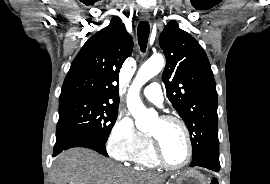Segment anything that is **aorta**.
<instances>
[{
	"label": "aorta",
	"instance_id": "aorta-1",
	"mask_svg": "<svg viewBox=\"0 0 270 184\" xmlns=\"http://www.w3.org/2000/svg\"><path fill=\"white\" fill-rule=\"evenodd\" d=\"M164 66V58L160 54L150 57L138 70V73L128 90L127 107L135 119L136 127L141 131H146L151 126V122L157 118V113L148 110L143 105L139 92L141 87L151 78L156 76Z\"/></svg>",
	"mask_w": 270,
	"mask_h": 184
}]
</instances>
